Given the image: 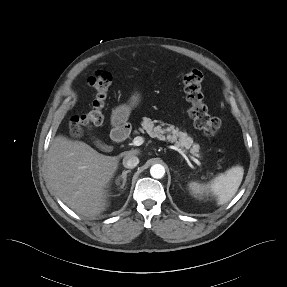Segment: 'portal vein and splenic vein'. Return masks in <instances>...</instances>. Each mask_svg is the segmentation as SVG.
Instances as JSON below:
<instances>
[{"label": "portal vein and splenic vein", "instance_id": "18ae733b", "mask_svg": "<svg viewBox=\"0 0 287 287\" xmlns=\"http://www.w3.org/2000/svg\"><path fill=\"white\" fill-rule=\"evenodd\" d=\"M144 143V139L141 136H137L133 139L132 145L134 146H140ZM172 148L176 151H178L183 157L187 158L184 151H182L178 146H172ZM198 166L201 165L200 161L196 158H191Z\"/></svg>", "mask_w": 287, "mask_h": 287}]
</instances>
